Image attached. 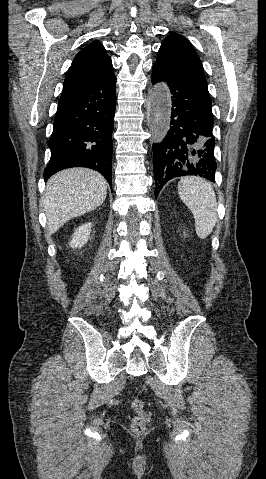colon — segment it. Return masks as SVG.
Masks as SVG:
<instances>
[{
  "label": "colon",
  "instance_id": "obj_1",
  "mask_svg": "<svg viewBox=\"0 0 266 479\" xmlns=\"http://www.w3.org/2000/svg\"><path fill=\"white\" fill-rule=\"evenodd\" d=\"M131 408L135 413L131 424L132 430L137 434H142L150 421V415L145 410L143 401L138 398L131 401Z\"/></svg>",
  "mask_w": 266,
  "mask_h": 479
}]
</instances>
